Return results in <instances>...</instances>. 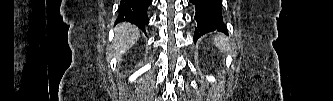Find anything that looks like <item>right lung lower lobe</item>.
I'll return each mask as SVG.
<instances>
[{
	"mask_svg": "<svg viewBox=\"0 0 333 101\" xmlns=\"http://www.w3.org/2000/svg\"><path fill=\"white\" fill-rule=\"evenodd\" d=\"M152 0H121L117 22L127 21L145 31L148 23L147 9Z\"/></svg>",
	"mask_w": 333,
	"mask_h": 101,
	"instance_id": "right-lung-lower-lobe-1",
	"label": "right lung lower lobe"
}]
</instances>
